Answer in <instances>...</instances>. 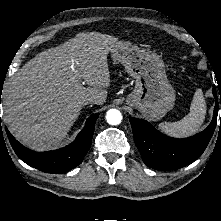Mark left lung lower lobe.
Here are the masks:
<instances>
[{"instance_id": "obj_1", "label": "left lung lower lobe", "mask_w": 221, "mask_h": 221, "mask_svg": "<svg viewBox=\"0 0 221 221\" xmlns=\"http://www.w3.org/2000/svg\"><path fill=\"white\" fill-rule=\"evenodd\" d=\"M213 94L216 104L212 122L204 131L189 138L168 137L156 130L149 122L130 118L135 144L146 165L157 170H174L194 162L202 155L214 133L217 122L218 100L214 88Z\"/></svg>"}]
</instances>
